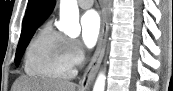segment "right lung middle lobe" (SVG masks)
<instances>
[{"instance_id":"dd1d6c3e","label":"right lung middle lobe","mask_w":173,"mask_h":91,"mask_svg":"<svg viewBox=\"0 0 173 91\" xmlns=\"http://www.w3.org/2000/svg\"><path fill=\"white\" fill-rule=\"evenodd\" d=\"M38 27L34 28L33 30H30L28 32H22L21 33V37H20V40H19V44H18V48H17V51H16V56H15V63L18 64L22 58V55L25 51V48L27 47L31 37L33 36L35 30L37 29Z\"/></svg>"}]
</instances>
